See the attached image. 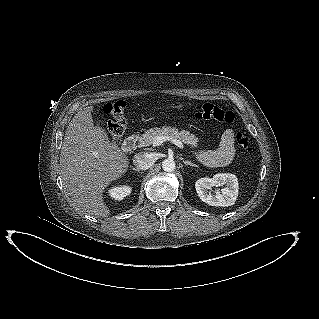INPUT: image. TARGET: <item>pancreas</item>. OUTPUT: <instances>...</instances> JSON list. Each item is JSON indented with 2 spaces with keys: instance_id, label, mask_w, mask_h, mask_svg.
Wrapping results in <instances>:
<instances>
[{
  "instance_id": "pancreas-1",
  "label": "pancreas",
  "mask_w": 319,
  "mask_h": 319,
  "mask_svg": "<svg viewBox=\"0 0 319 319\" xmlns=\"http://www.w3.org/2000/svg\"><path fill=\"white\" fill-rule=\"evenodd\" d=\"M156 136H164L176 139L184 144H187L188 146H191L192 148L197 147L199 142V138L187 130L178 131V129L173 127H155L145 131L144 134L138 138V147L150 146L154 143V138Z\"/></svg>"
}]
</instances>
